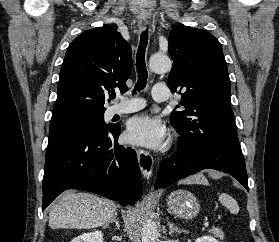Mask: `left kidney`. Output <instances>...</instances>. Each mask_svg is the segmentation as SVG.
I'll use <instances>...</instances> for the list:
<instances>
[{
  "label": "left kidney",
  "instance_id": "1",
  "mask_svg": "<svg viewBox=\"0 0 279 242\" xmlns=\"http://www.w3.org/2000/svg\"><path fill=\"white\" fill-rule=\"evenodd\" d=\"M195 242H219V241L211 236H203L196 239Z\"/></svg>",
  "mask_w": 279,
  "mask_h": 242
}]
</instances>
